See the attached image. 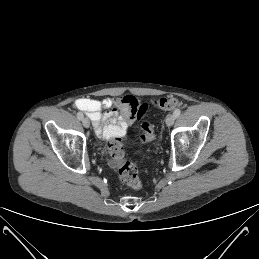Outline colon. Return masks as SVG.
Instances as JSON below:
<instances>
[{
	"label": "colon",
	"mask_w": 259,
	"mask_h": 259,
	"mask_svg": "<svg viewBox=\"0 0 259 259\" xmlns=\"http://www.w3.org/2000/svg\"><path fill=\"white\" fill-rule=\"evenodd\" d=\"M150 105L161 110H172L179 105V99L175 96H166L150 103H143L137 108V119H141L144 116ZM140 128L142 132V142L150 143L155 139L154 125L151 122L146 120L142 121ZM108 152L111 163L116 168L120 181L130 188H141L142 182L139 177L138 168L133 162L125 159L124 147L119 138H114L109 142Z\"/></svg>",
	"instance_id": "5ec220e1"
}]
</instances>
